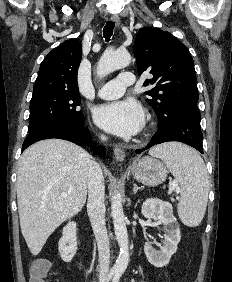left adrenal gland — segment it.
Wrapping results in <instances>:
<instances>
[{
	"instance_id": "left-adrenal-gland-1",
	"label": "left adrenal gland",
	"mask_w": 232,
	"mask_h": 282,
	"mask_svg": "<svg viewBox=\"0 0 232 282\" xmlns=\"http://www.w3.org/2000/svg\"><path fill=\"white\" fill-rule=\"evenodd\" d=\"M143 187H138L136 183H134L133 194H136L138 190H143Z\"/></svg>"
}]
</instances>
